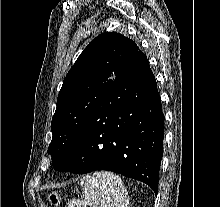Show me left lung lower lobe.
I'll list each match as a JSON object with an SVG mask.
<instances>
[{
    "mask_svg": "<svg viewBox=\"0 0 220 207\" xmlns=\"http://www.w3.org/2000/svg\"><path fill=\"white\" fill-rule=\"evenodd\" d=\"M163 135L157 83L138 50L54 169L76 174L113 171L146 183L157 194Z\"/></svg>",
    "mask_w": 220,
    "mask_h": 207,
    "instance_id": "1",
    "label": "left lung lower lobe"
}]
</instances>
